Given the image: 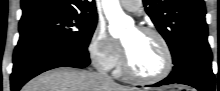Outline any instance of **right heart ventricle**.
I'll list each match as a JSON object with an SVG mask.
<instances>
[{"mask_svg": "<svg viewBox=\"0 0 220 91\" xmlns=\"http://www.w3.org/2000/svg\"><path fill=\"white\" fill-rule=\"evenodd\" d=\"M121 71H122V70H121V67L117 65V66H116V73H117V74H120Z\"/></svg>", "mask_w": 220, "mask_h": 91, "instance_id": "1", "label": "right heart ventricle"}]
</instances>
